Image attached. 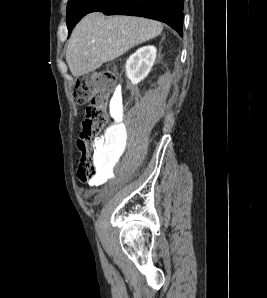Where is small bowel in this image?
Instances as JSON below:
<instances>
[{
    "mask_svg": "<svg viewBox=\"0 0 267 298\" xmlns=\"http://www.w3.org/2000/svg\"><path fill=\"white\" fill-rule=\"evenodd\" d=\"M110 140H112V135L107 134V135L105 136V139H104L105 142H104V143L107 145V144L109 143ZM93 195H94L93 190H87V191L84 193V196H85L86 198H91Z\"/></svg>",
    "mask_w": 267,
    "mask_h": 298,
    "instance_id": "small-bowel-1",
    "label": "small bowel"
}]
</instances>
